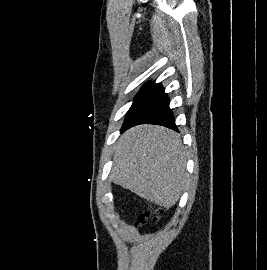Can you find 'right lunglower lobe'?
<instances>
[{
	"label": "right lung lower lobe",
	"mask_w": 267,
	"mask_h": 270,
	"mask_svg": "<svg viewBox=\"0 0 267 270\" xmlns=\"http://www.w3.org/2000/svg\"><path fill=\"white\" fill-rule=\"evenodd\" d=\"M139 124H155L176 129L169 98L160 84L151 83L146 92L130 108L121 132ZM178 131V130H177Z\"/></svg>",
	"instance_id": "98d812e1"
}]
</instances>
